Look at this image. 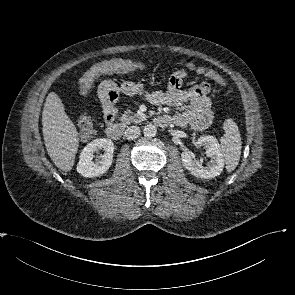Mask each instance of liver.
Returning a JSON list of instances; mask_svg holds the SVG:
<instances>
[{
	"instance_id": "6515ba94",
	"label": "liver",
	"mask_w": 295,
	"mask_h": 295,
	"mask_svg": "<svg viewBox=\"0 0 295 295\" xmlns=\"http://www.w3.org/2000/svg\"><path fill=\"white\" fill-rule=\"evenodd\" d=\"M42 126L51 160L62 171H70L79 146L78 132L66 114L62 100L54 92H50L45 100Z\"/></svg>"
}]
</instances>
